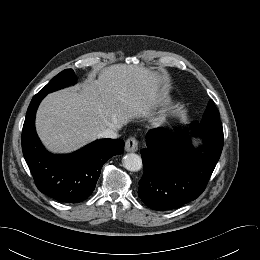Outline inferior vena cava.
Returning a JSON list of instances; mask_svg holds the SVG:
<instances>
[{
  "instance_id": "602c4592",
  "label": "inferior vena cava",
  "mask_w": 260,
  "mask_h": 260,
  "mask_svg": "<svg viewBox=\"0 0 260 260\" xmlns=\"http://www.w3.org/2000/svg\"><path fill=\"white\" fill-rule=\"evenodd\" d=\"M99 137L115 139L118 137L117 129L107 128L99 134Z\"/></svg>"
}]
</instances>
